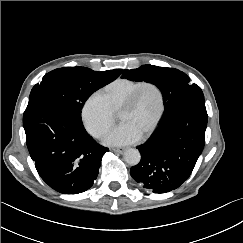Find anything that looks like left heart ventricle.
<instances>
[{
	"instance_id": "left-heart-ventricle-1",
	"label": "left heart ventricle",
	"mask_w": 243,
	"mask_h": 243,
	"mask_svg": "<svg viewBox=\"0 0 243 243\" xmlns=\"http://www.w3.org/2000/svg\"><path fill=\"white\" fill-rule=\"evenodd\" d=\"M160 109V97L153 86L144 87L133 109L119 114V120L144 134L154 123Z\"/></svg>"
}]
</instances>
